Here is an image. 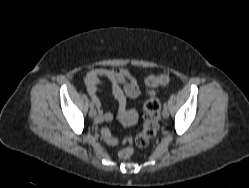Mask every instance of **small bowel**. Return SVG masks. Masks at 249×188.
<instances>
[{"label": "small bowel", "instance_id": "c3829d8e", "mask_svg": "<svg viewBox=\"0 0 249 188\" xmlns=\"http://www.w3.org/2000/svg\"><path fill=\"white\" fill-rule=\"evenodd\" d=\"M103 79L112 85V92L118 104V113L124 116L127 113V97L137 99L140 96V88L137 78L126 68H95L88 72L84 78V85L92 98L96 99L98 109L97 123L111 122L114 115L110 111H103L101 101L97 97L98 85Z\"/></svg>", "mask_w": 249, "mask_h": 188}]
</instances>
